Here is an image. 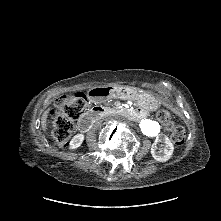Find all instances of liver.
Returning <instances> with one entry per match:
<instances>
[{
  "label": "liver",
  "instance_id": "1",
  "mask_svg": "<svg viewBox=\"0 0 221 221\" xmlns=\"http://www.w3.org/2000/svg\"><path fill=\"white\" fill-rule=\"evenodd\" d=\"M49 111H50V108L45 110L42 117H41V126H42V130L44 132L46 131L47 118H48Z\"/></svg>",
  "mask_w": 221,
  "mask_h": 221
}]
</instances>
